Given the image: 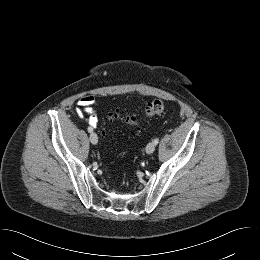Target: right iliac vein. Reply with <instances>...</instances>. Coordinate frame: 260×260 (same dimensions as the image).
<instances>
[{"instance_id":"obj_1","label":"right iliac vein","mask_w":260,"mask_h":260,"mask_svg":"<svg viewBox=\"0 0 260 260\" xmlns=\"http://www.w3.org/2000/svg\"><path fill=\"white\" fill-rule=\"evenodd\" d=\"M90 141H91L92 144H97V142H98V137H97L96 133L92 132V133L90 134Z\"/></svg>"}]
</instances>
